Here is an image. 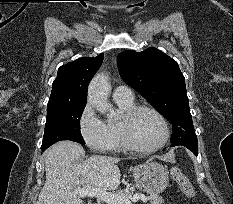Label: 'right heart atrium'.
I'll use <instances>...</instances> for the list:
<instances>
[{
    "mask_svg": "<svg viewBox=\"0 0 233 204\" xmlns=\"http://www.w3.org/2000/svg\"><path fill=\"white\" fill-rule=\"evenodd\" d=\"M79 130L90 150L106 152L112 149V138L107 123L97 115L90 103H86L80 114Z\"/></svg>",
    "mask_w": 233,
    "mask_h": 204,
    "instance_id": "1",
    "label": "right heart atrium"
}]
</instances>
